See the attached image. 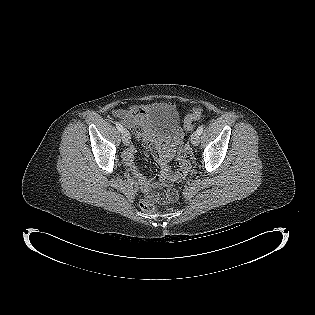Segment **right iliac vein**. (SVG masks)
Listing matches in <instances>:
<instances>
[{
    "mask_svg": "<svg viewBox=\"0 0 315 315\" xmlns=\"http://www.w3.org/2000/svg\"><path fill=\"white\" fill-rule=\"evenodd\" d=\"M122 141L126 146H128L131 142L130 133L126 129L122 132Z\"/></svg>",
    "mask_w": 315,
    "mask_h": 315,
    "instance_id": "1",
    "label": "right iliac vein"
}]
</instances>
